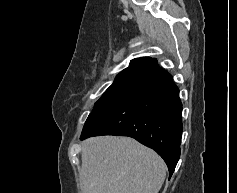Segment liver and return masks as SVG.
<instances>
[{
    "mask_svg": "<svg viewBox=\"0 0 237 193\" xmlns=\"http://www.w3.org/2000/svg\"><path fill=\"white\" fill-rule=\"evenodd\" d=\"M82 193H158L166 164L130 137L99 136L82 149Z\"/></svg>",
    "mask_w": 237,
    "mask_h": 193,
    "instance_id": "obj_1",
    "label": "liver"
}]
</instances>
